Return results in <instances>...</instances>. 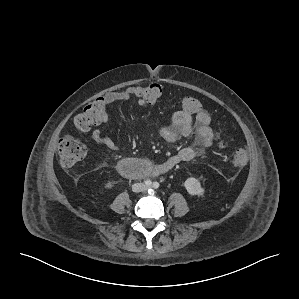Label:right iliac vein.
<instances>
[{"label": "right iliac vein", "mask_w": 299, "mask_h": 299, "mask_svg": "<svg viewBox=\"0 0 299 299\" xmlns=\"http://www.w3.org/2000/svg\"><path fill=\"white\" fill-rule=\"evenodd\" d=\"M137 187H138V188H140V189H141V188H143V186H142V185H137Z\"/></svg>", "instance_id": "obj_1"}]
</instances>
